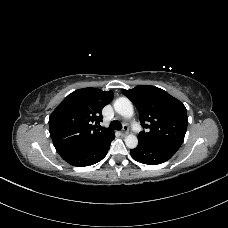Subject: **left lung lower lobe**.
Masks as SVG:
<instances>
[{"label":"left lung lower lobe","mask_w":228,"mask_h":228,"mask_svg":"<svg viewBox=\"0 0 228 228\" xmlns=\"http://www.w3.org/2000/svg\"><path fill=\"white\" fill-rule=\"evenodd\" d=\"M177 150L178 148L168 145L139 142L135 149L130 150V154L132 158L138 162L148 165H156L169 160Z\"/></svg>","instance_id":"left-lung-lower-lobe-1"}]
</instances>
